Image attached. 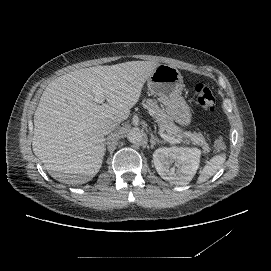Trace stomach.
Masks as SVG:
<instances>
[{
  "mask_svg": "<svg viewBox=\"0 0 271 271\" xmlns=\"http://www.w3.org/2000/svg\"><path fill=\"white\" fill-rule=\"evenodd\" d=\"M147 86L166 106V112L173 120L180 125L191 123L190 107L181 96L184 88L183 76L176 67L160 64L149 77Z\"/></svg>",
  "mask_w": 271,
  "mask_h": 271,
  "instance_id": "stomach-1",
  "label": "stomach"
}]
</instances>
